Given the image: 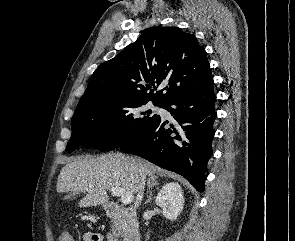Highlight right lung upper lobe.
I'll return each instance as SVG.
<instances>
[{"label":"right lung upper lobe","mask_w":295,"mask_h":241,"mask_svg":"<svg viewBox=\"0 0 295 241\" xmlns=\"http://www.w3.org/2000/svg\"><path fill=\"white\" fill-rule=\"evenodd\" d=\"M212 80L206 51L193 34L177 27H153L94 71L80 101L122 97L163 105ZM159 85L164 88L154 94Z\"/></svg>","instance_id":"right-lung-upper-lobe-1"}]
</instances>
